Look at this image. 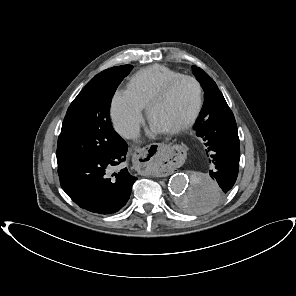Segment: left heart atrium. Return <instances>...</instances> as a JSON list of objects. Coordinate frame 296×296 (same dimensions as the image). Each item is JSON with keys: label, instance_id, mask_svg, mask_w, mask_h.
<instances>
[{"label": "left heart atrium", "instance_id": "39dd6f15", "mask_svg": "<svg viewBox=\"0 0 296 296\" xmlns=\"http://www.w3.org/2000/svg\"><path fill=\"white\" fill-rule=\"evenodd\" d=\"M152 134H157L159 132H162L159 128H157L155 125H151Z\"/></svg>", "mask_w": 296, "mask_h": 296}]
</instances>
